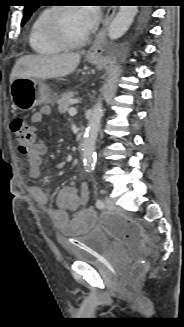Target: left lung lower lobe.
I'll return each instance as SVG.
<instances>
[{
    "label": "left lung lower lobe",
    "instance_id": "obj_1",
    "mask_svg": "<svg viewBox=\"0 0 184 327\" xmlns=\"http://www.w3.org/2000/svg\"><path fill=\"white\" fill-rule=\"evenodd\" d=\"M150 15V13H148L146 16L148 17Z\"/></svg>",
    "mask_w": 184,
    "mask_h": 327
}]
</instances>
